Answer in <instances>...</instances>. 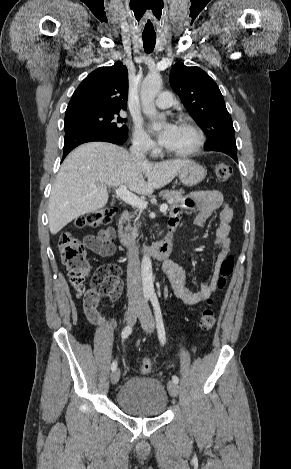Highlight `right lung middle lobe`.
Instances as JSON below:
<instances>
[{
	"label": "right lung middle lobe",
	"mask_w": 291,
	"mask_h": 469,
	"mask_svg": "<svg viewBox=\"0 0 291 469\" xmlns=\"http://www.w3.org/2000/svg\"><path fill=\"white\" fill-rule=\"evenodd\" d=\"M118 110L89 109L65 114V133L78 130L102 132H127Z\"/></svg>",
	"instance_id": "1"
}]
</instances>
